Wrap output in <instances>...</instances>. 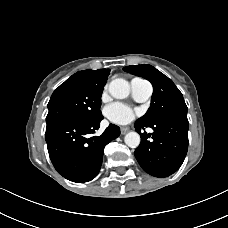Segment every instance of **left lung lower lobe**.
<instances>
[{
	"mask_svg": "<svg viewBox=\"0 0 228 228\" xmlns=\"http://www.w3.org/2000/svg\"><path fill=\"white\" fill-rule=\"evenodd\" d=\"M144 127H150L154 132L141 133ZM135 128L140 133L141 143L134 154L145 172L155 177H167L180 168L188 150L187 110L172 113L151 124L136 121Z\"/></svg>",
	"mask_w": 228,
	"mask_h": 228,
	"instance_id": "obj_1",
	"label": "left lung lower lobe"
}]
</instances>
